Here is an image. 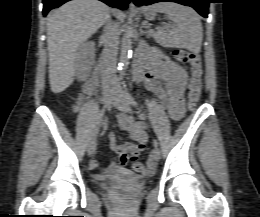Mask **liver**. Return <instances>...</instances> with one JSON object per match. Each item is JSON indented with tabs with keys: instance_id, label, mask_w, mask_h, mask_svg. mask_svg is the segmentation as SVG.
Listing matches in <instances>:
<instances>
[{
	"instance_id": "liver-1",
	"label": "liver",
	"mask_w": 260,
	"mask_h": 217,
	"mask_svg": "<svg viewBox=\"0 0 260 217\" xmlns=\"http://www.w3.org/2000/svg\"><path fill=\"white\" fill-rule=\"evenodd\" d=\"M109 16V7L98 0H72L49 13L47 45L53 93H61L73 83L80 46Z\"/></svg>"
}]
</instances>
